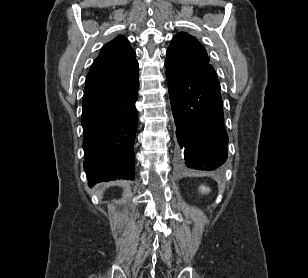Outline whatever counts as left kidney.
I'll return each instance as SVG.
<instances>
[{
	"instance_id": "left-kidney-1",
	"label": "left kidney",
	"mask_w": 308,
	"mask_h": 278,
	"mask_svg": "<svg viewBox=\"0 0 308 278\" xmlns=\"http://www.w3.org/2000/svg\"><path fill=\"white\" fill-rule=\"evenodd\" d=\"M200 190L205 193V192H209V188L207 187H204V186H201Z\"/></svg>"
}]
</instances>
